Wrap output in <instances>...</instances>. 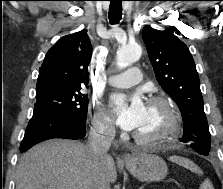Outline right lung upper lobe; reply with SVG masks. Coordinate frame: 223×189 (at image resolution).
Returning a JSON list of instances; mask_svg holds the SVG:
<instances>
[{
	"mask_svg": "<svg viewBox=\"0 0 223 189\" xmlns=\"http://www.w3.org/2000/svg\"><path fill=\"white\" fill-rule=\"evenodd\" d=\"M91 54L92 46L86 29L60 38L49 49L40 67L36 93L87 85Z\"/></svg>",
	"mask_w": 223,
	"mask_h": 189,
	"instance_id": "obj_1",
	"label": "right lung upper lobe"
}]
</instances>
